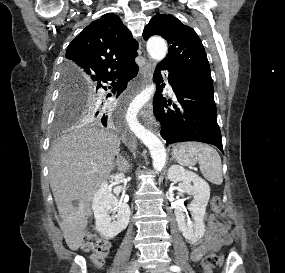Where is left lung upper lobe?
<instances>
[{"label":"left lung upper lobe","instance_id":"obj_1","mask_svg":"<svg viewBox=\"0 0 285 273\" xmlns=\"http://www.w3.org/2000/svg\"><path fill=\"white\" fill-rule=\"evenodd\" d=\"M152 35L164 37L170 45L161 66L173 70L184 81L213 86L207 55L192 28L172 15L158 13L145 27L143 38L147 40Z\"/></svg>","mask_w":285,"mask_h":273}]
</instances>
